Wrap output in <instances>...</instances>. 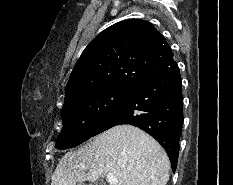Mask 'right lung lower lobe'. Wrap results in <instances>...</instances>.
<instances>
[{
	"label": "right lung lower lobe",
	"mask_w": 233,
	"mask_h": 185,
	"mask_svg": "<svg viewBox=\"0 0 233 185\" xmlns=\"http://www.w3.org/2000/svg\"><path fill=\"white\" fill-rule=\"evenodd\" d=\"M118 124H132L154 137L165 148L175 172L183 124L182 84L175 61L130 89L93 136Z\"/></svg>",
	"instance_id": "1"
}]
</instances>
